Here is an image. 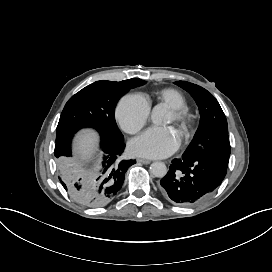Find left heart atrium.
Instances as JSON below:
<instances>
[{"label":"left heart atrium","mask_w":272,"mask_h":272,"mask_svg":"<svg viewBox=\"0 0 272 272\" xmlns=\"http://www.w3.org/2000/svg\"><path fill=\"white\" fill-rule=\"evenodd\" d=\"M176 135L167 128H149L138 140L131 144V150L150 157H167L178 147Z\"/></svg>","instance_id":"obj_1"}]
</instances>
